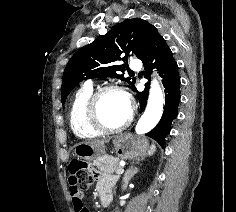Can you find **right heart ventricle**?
Instances as JSON below:
<instances>
[{
  "instance_id": "right-heart-ventricle-1",
  "label": "right heart ventricle",
  "mask_w": 236,
  "mask_h": 212,
  "mask_svg": "<svg viewBox=\"0 0 236 212\" xmlns=\"http://www.w3.org/2000/svg\"><path fill=\"white\" fill-rule=\"evenodd\" d=\"M94 92L91 84H86L76 91L71 101L69 121L73 133L81 139H92L101 135L92 128L87 120V105Z\"/></svg>"
}]
</instances>
